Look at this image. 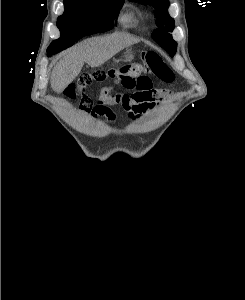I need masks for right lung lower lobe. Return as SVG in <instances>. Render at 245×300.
<instances>
[{
	"instance_id": "right-lung-lower-lobe-1",
	"label": "right lung lower lobe",
	"mask_w": 245,
	"mask_h": 300,
	"mask_svg": "<svg viewBox=\"0 0 245 300\" xmlns=\"http://www.w3.org/2000/svg\"><path fill=\"white\" fill-rule=\"evenodd\" d=\"M79 26L84 31L83 32L84 36L105 31L103 25L99 23L97 20H93V19L80 21ZM51 55L52 53L47 52V56L50 57Z\"/></svg>"
}]
</instances>
